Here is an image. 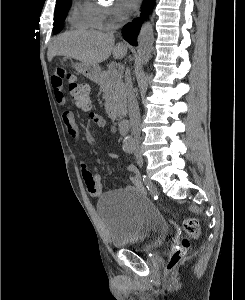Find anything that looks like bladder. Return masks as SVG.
Wrapping results in <instances>:
<instances>
[{
  "mask_svg": "<svg viewBox=\"0 0 245 300\" xmlns=\"http://www.w3.org/2000/svg\"><path fill=\"white\" fill-rule=\"evenodd\" d=\"M113 248L151 252L168 237L169 225L142 192L122 189L109 191L97 203Z\"/></svg>",
  "mask_w": 245,
  "mask_h": 300,
  "instance_id": "1",
  "label": "bladder"
}]
</instances>
